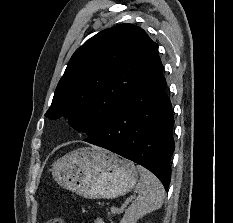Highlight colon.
<instances>
[{"instance_id":"5ec220e1","label":"colon","mask_w":233,"mask_h":223,"mask_svg":"<svg viewBox=\"0 0 233 223\" xmlns=\"http://www.w3.org/2000/svg\"><path fill=\"white\" fill-rule=\"evenodd\" d=\"M47 223H65V220L62 217L57 216L48 220Z\"/></svg>"}]
</instances>
